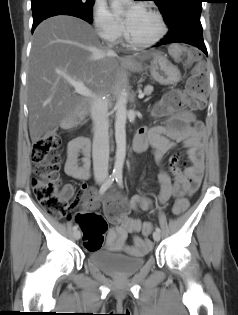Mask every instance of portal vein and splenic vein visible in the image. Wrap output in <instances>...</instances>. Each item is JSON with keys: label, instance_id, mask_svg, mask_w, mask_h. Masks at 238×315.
Masks as SVG:
<instances>
[{"label": "portal vein and splenic vein", "instance_id": "18ae733b", "mask_svg": "<svg viewBox=\"0 0 238 315\" xmlns=\"http://www.w3.org/2000/svg\"><path fill=\"white\" fill-rule=\"evenodd\" d=\"M68 83L74 87L76 93H78L82 96H85V97H93L94 96L93 92L89 88H87L83 82L68 79ZM138 97L143 98L144 93H139Z\"/></svg>", "mask_w": 238, "mask_h": 315}]
</instances>
